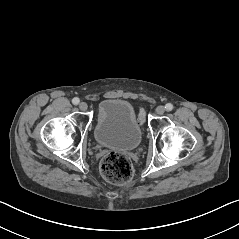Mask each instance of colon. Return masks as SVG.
I'll return each instance as SVG.
<instances>
[{
    "mask_svg": "<svg viewBox=\"0 0 239 239\" xmlns=\"http://www.w3.org/2000/svg\"><path fill=\"white\" fill-rule=\"evenodd\" d=\"M100 173L109 183L119 185L128 182L134 173L131 161L122 154H106L100 164Z\"/></svg>",
    "mask_w": 239,
    "mask_h": 239,
    "instance_id": "obj_1",
    "label": "colon"
}]
</instances>
